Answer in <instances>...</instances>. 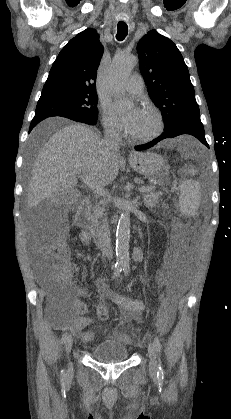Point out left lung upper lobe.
Listing matches in <instances>:
<instances>
[{"label":"left lung upper lobe","instance_id":"obj_1","mask_svg":"<svg viewBox=\"0 0 231 419\" xmlns=\"http://www.w3.org/2000/svg\"><path fill=\"white\" fill-rule=\"evenodd\" d=\"M137 50L149 96L163 113L164 131L186 120H200L189 71L176 45L151 30L139 41Z\"/></svg>","mask_w":231,"mask_h":419}]
</instances>
